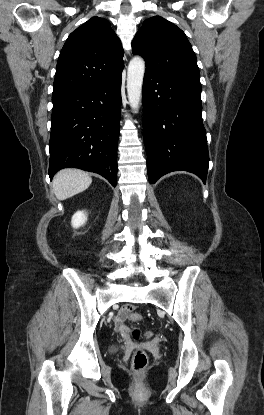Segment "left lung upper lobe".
Returning <instances> with one entry per match:
<instances>
[{
	"mask_svg": "<svg viewBox=\"0 0 264 415\" xmlns=\"http://www.w3.org/2000/svg\"><path fill=\"white\" fill-rule=\"evenodd\" d=\"M132 52L145 59L148 71L200 82L196 55L185 33L160 16L144 21L132 41Z\"/></svg>",
	"mask_w": 264,
	"mask_h": 415,
	"instance_id": "1",
	"label": "left lung upper lobe"
}]
</instances>
